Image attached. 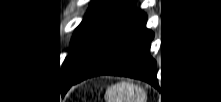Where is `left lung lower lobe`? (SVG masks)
Masks as SVG:
<instances>
[{
    "mask_svg": "<svg viewBox=\"0 0 221 102\" xmlns=\"http://www.w3.org/2000/svg\"><path fill=\"white\" fill-rule=\"evenodd\" d=\"M146 20V14L135 8L80 72L64 81L66 89L98 75L126 76L155 86L156 61L149 53L154 34L146 28Z\"/></svg>",
    "mask_w": 221,
    "mask_h": 102,
    "instance_id": "1",
    "label": "left lung lower lobe"
}]
</instances>
